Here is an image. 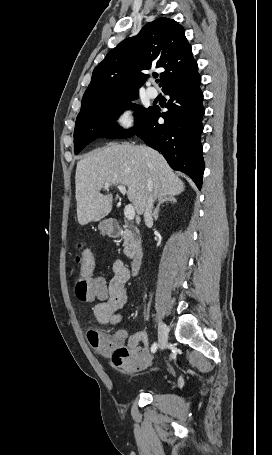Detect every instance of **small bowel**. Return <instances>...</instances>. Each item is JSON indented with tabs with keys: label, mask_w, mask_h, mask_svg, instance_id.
<instances>
[{
	"label": "small bowel",
	"mask_w": 272,
	"mask_h": 455,
	"mask_svg": "<svg viewBox=\"0 0 272 455\" xmlns=\"http://www.w3.org/2000/svg\"><path fill=\"white\" fill-rule=\"evenodd\" d=\"M112 271L113 276L107 284V295L94 307V314L102 324L118 323L121 311L127 303L126 283L131 276L130 270L121 260L116 259L112 264ZM114 339L120 344H125L130 350L126 368L123 370L125 373L136 374L151 365L153 356L147 348V333L137 332L128 335L125 330L120 329L115 332ZM139 343H143L144 347H139Z\"/></svg>",
	"instance_id": "1"
}]
</instances>
